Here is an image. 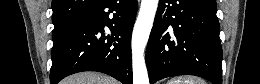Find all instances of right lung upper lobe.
<instances>
[{"instance_id": "right-lung-upper-lobe-1", "label": "right lung upper lobe", "mask_w": 260, "mask_h": 84, "mask_svg": "<svg viewBox=\"0 0 260 84\" xmlns=\"http://www.w3.org/2000/svg\"><path fill=\"white\" fill-rule=\"evenodd\" d=\"M99 0H53V24L54 28H61L67 23L77 18Z\"/></svg>"}]
</instances>
